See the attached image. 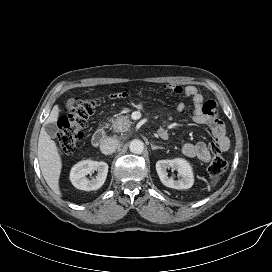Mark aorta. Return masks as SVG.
Wrapping results in <instances>:
<instances>
[{
	"instance_id": "obj_1",
	"label": "aorta",
	"mask_w": 272,
	"mask_h": 272,
	"mask_svg": "<svg viewBox=\"0 0 272 272\" xmlns=\"http://www.w3.org/2000/svg\"><path fill=\"white\" fill-rule=\"evenodd\" d=\"M129 149L134 154H141L144 150V143L139 139L130 142Z\"/></svg>"
}]
</instances>
